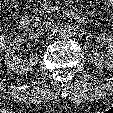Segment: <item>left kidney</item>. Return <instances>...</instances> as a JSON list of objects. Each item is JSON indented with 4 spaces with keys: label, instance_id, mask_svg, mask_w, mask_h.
<instances>
[{
    "label": "left kidney",
    "instance_id": "obj_1",
    "mask_svg": "<svg viewBox=\"0 0 113 113\" xmlns=\"http://www.w3.org/2000/svg\"><path fill=\"white\" fill-rule=\"evenodd\" d=\"M97 40L107 44V52L105 55L91 53L87 56V61L97 68H113V36L100 33Z\"/></svg>",
    "mask_w": 113,
    "mask_h": 113
}]
</instances>
